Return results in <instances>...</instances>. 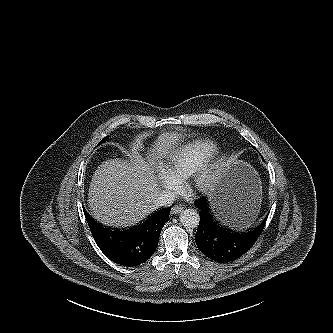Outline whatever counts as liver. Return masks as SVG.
I'll return each mask as SVG.
<instances>
[{"label":"liver","mask_w":333,"mask_h":333,"mask_svg":"<svg viewBox=\"0 0 333 333\" xmlns=\"http://www.w3.org/2000/svg\"><path fill=\"white\" fill-rule=\"evenodd\" d=\"M181 136L162 133L145 158L135 152L130 161L117 158L103 162L92 177L88 193L93 218L104 225L127 227L155 210L153 198L165 170L162 159L173 156Z\"/></svg>","instance_id":"1"}]
</instances>
